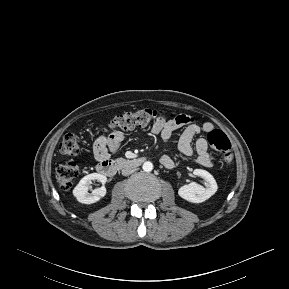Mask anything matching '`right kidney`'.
Returning a JSON list of instances; mask_svg holds the SVG:
<instances>
[{
  "label": "right kidney",
  "instance_id": "1",
  "mask_svg": "<svg viewBox=\"0 0 289 289\" xmlns=\"http://www.w3.org/2000/svg\"><path fill=\"white\" fill-rule=\"evenodd\" d=\"M92 180H97L98 182L104 184L107 181V178L99 173H91L83 177L73 189V195L77 198L78 202L83 204H92L99 201L106 195L105 186L96 188L91 193L88 192Z\"/></svg>",
  "mask_w": 289,
  "mask_h": 289
}]
</instances>
